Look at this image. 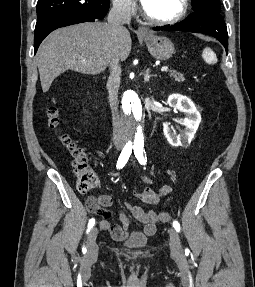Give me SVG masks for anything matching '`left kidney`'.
<instances>
[{
  "label": "left kidney",
  "instance_id": "obj_1",
  "mask_svg": "<svg viewBox=\"0 0 255 287\" xmlns=\"http://www.w3.org/2000/svg\"><path fill=\"white\" fill-rule=\"evenodd\" d=\"M167 104L170 108H176L179 112H184L186 118L181 122L182 126H185L183 134H178L177 136L176 132H173L172 128H170V124H163L164 136L169 144L175 145V147H178V145L185 147L194 138V134H196L201 122V116L197 108H195V104L187 96L171 94Z\"/></svg>",
  "mask_w": 255,
  "mask_h": 287
}]
</instances>
